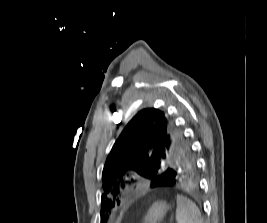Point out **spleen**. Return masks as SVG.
Masks as SVG:
<instances>
[{
  "label": "spleen",
  "instance_id": "obj_1",
  "mask_svg": "<svg viewBox=\"0 0 267 223\" xmlns=\"http://www.w3.org/2000/svg\"><path fill=\"white\" fill-rule=\"evenodd\" d=\"M176 221L177 223H203L196 204L181 195H177Z\"/></svg>",
  "mask_w": 267,
  "mask_h": 223
}]
</instances>
